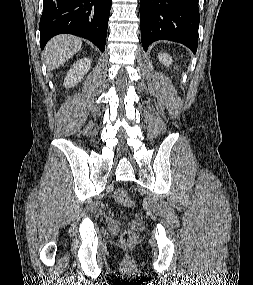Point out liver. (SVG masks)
<instances>
[{"label":"liver","mask_w":253,"mask_h":285,"mask_svg":"<svg viewBox=\"0 0 253 285\" xmlns=\"http://www.w3.org/2000/svg\"><path fill=\"white\" fill-rule=\"evenodd\" d=\"M82 46L80 38L70 35H59L51 39L45 48L46 64L54 70L73 57Z\"/></svg>","instance_id":"obj_1"}]
</instances>
